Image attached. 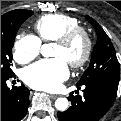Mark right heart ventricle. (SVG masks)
<instances>
[{
	"mask_svg": "<svg viewBox=\"0 0 121 121\" xmlns=\"http://www.w3.org/2000/svg\"><path fill=\"white\" fill-rule=\"evenodd\" d=\"M80 26V22L64 14H49L42 16L34 24L39 40L51 42L59 39L67 31Z\"/></svg>",
	"mask_w": 121,
	"mask_h": 121,
	"instance_id": "1",
	"label": "right heart ventricle"
}]
</instances>
